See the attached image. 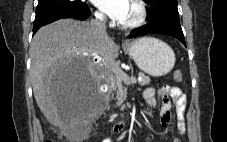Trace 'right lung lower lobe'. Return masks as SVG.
<instances>
[{"label":"right lung lower lobe","instance_id":"98d812e1","mask_svg":"<svg viewBox=\"0 0 227 142\" xmlns=\"http://www.w3.org/2000/svg\"><path fill=\"white\" fill-rule=\"evenodd\" d=\"M90 16V9L87 6L76 8H60L36 13L33 34L43 25L51 23L61 18H75L85 20Z\"/></svg>","mask_w":227,"mask_h":142}]
</instances>
